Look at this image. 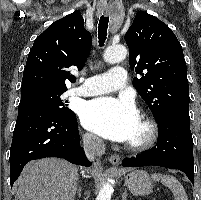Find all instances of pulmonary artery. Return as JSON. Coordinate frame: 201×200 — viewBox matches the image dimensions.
<instances>
[{"instance_id":"pulmonary-artery-1","label":"pulmonary artery","mask_w":201,"mask_h":200,"mask_svg":"<svg viewBox=\"0 0 201 200\" xmlns=\"http://www.w3.org/2000/svg\"><path fill=\"white\" fill-rule=\"evenodd\" d=\"M126 72L122 67H114L106 73L88 77L81 87L70 90L71 95L95 96L112 92L124 87Z\"/></svg>"}]
</instances>
